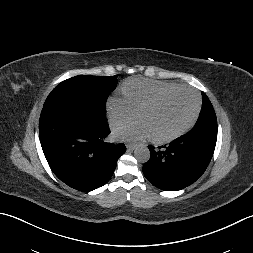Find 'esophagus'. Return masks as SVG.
Masks as SVG:
<instances>
[{"instance_id": "esophagus-1", "label": "esophagus", "mask_w": 253, "mask_h": 253, "mask_svg": "<svg viewBox=\"0 0 253 253\" xmlns=\"http://www.w3.org/2000/svg\"><path fill=\"white\" fill-rule=\"evenodd\" d=\"M135 147H136V146H135L134 144H127V145H126L127 150H130V151L134 150Z\"/></svg>"}]
</instances>
